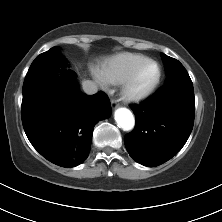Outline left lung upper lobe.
<instances>
[{
  "label": "left lung upper lobe",
  "mask_w": 222,
  "mask_h": 222,
  "mask_svg": "<svg viewBox=\"0 0 222 222\" xmlns=\"http://www.w3.org/2000/svg\"><path fill=\"white\" fill-rule=\"evenodd\" d=\"M162 59L166 69V83L191 80L183 65L176 59L162 54Z\"/></svg>",
  "instance_id": "5c2ea615"
}]
</instances>
